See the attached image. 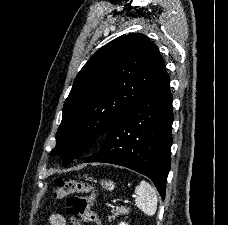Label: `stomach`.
<instances>
[{
    "mask_svg": "<svg viewBox=\"0 0 228 225\" xmlns=\"http://www.w3.org/2000/svg\"><path fill=\"white\" fill-rule=\"evenodd\" d=\"M100 185L102 189H106V191H113V189H115V183H113V181H101Z\"/></svg>",
    "mask_w": 228,
    "mask_h": 225,
    "instance_id": "1",
    "label": "stomach"
}]
</instances>
